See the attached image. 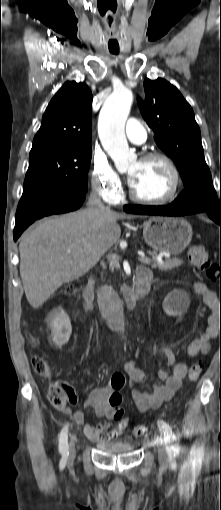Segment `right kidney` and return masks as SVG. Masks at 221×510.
<instances>
[{"label": "right kidney", "mask_w": 221, "mask_h": 510, "mask_svg": "<svg viewBox=\"0 0 221 510\" xmlns=\"http://www.w3.org/2000/svg\"><path fill=\"white\" fill-rule=\"evenodd\" d=\"M49 326L52 331L53 343L57 347L61 348L68 343L72 333V326L69 316L62 308L54 311L50 318Z\"/></svg>", "instance_id": "ca27d5eb"}]
</instances>
